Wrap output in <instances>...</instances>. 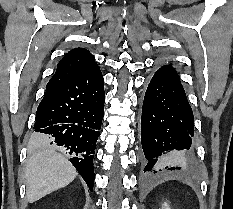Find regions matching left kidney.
I'll use <instances>...</instances> for the list:
<instances>
[{
  "mask_svg": "<svg viewBox=\"0 0 233 209\" xmlns=\"http://www.w3.org/2000/svg\"><path fill=\"white\" fill-rule=\"evenodd\" d=\"M161 209H171V208H170V206H169L166 202H164V203L162 204Z\"/></svg>",
  "mask_w": 233,
  "mask_h": 209,
  "instance_id": "1",
  "label": "left kidney"
}]
</instances>
